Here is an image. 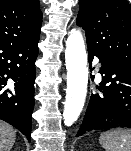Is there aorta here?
Instances as JSON below:
<instances>
[{
    "label": "aorta",
    "mask_w": 131,
    "mask_h": 151,
    "mask_svg": "<svg viewBox=\"0 0 131 151\" xmlns=\"http://www.w3.org/2000/svg\"><path fill=\"white\" fill-rule=\"evenodd\" d=\"M65 62L67 89L63 120L64 124L69 127L79 118L87 94V54L82 34L78 30L73 29L67 38Z\"/></svg>",
    "instance_id": "1"
}]
</instances>
